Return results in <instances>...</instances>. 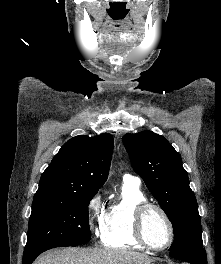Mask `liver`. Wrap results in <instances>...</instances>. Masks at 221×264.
Listing matches in <instances>:
<instances>
[{
    "label": "liver",
    "instance_id": "6515ba94",
    "mask_svg": "<svg viewBox=\"0 0 221 264\" xmlns=\"http://www.w3.org/2000/svg\"><path fill=\"white\" fill-rule=\"evenodd\" d=\"M151 261L147 255L122 249L67 247L46 253L33 264H149Z\"/></svg>",
    "mask_w": 221,
    "mask_h": 264
}]
</instances>
